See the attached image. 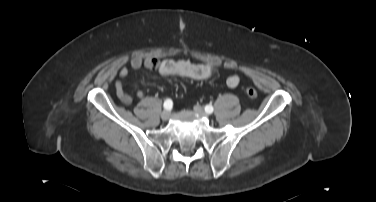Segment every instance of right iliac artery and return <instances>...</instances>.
I'll list each match as a JSON object with an SVG mask.
<instances>
[{
  "label": "right iliac artery",
  "mask_w": 376,
  "mask_h": 202,
  "mask_svg": "<svg viewBox=\"0 0 376 202\" xmlns=\"http://www.w3.org/2000/svg\"><path fill=\"white\" fill-rule=\"evenodd\" d=\"M163 106H164V108H165L166 110H170V109L172 108V106H173V102H172V100H171V99H166V100L164 101Z\"/></svg>",
  "instance_id": "obj_1"
}]
</instances>
